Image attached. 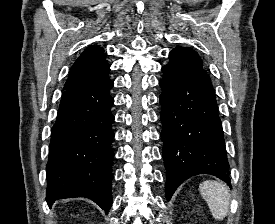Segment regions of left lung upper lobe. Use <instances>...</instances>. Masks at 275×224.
Segmentation results:
<instances>
[{
    "mask_svg": "<svg viewBox=\"0 0 275 224\" xmlns=\"http://www.w3.org/2000/svg\"><path fill=\"white\" fill-rule=\"evenodd\" d=\"M169 58V63L162 67L167 72L176 74L199 72L209 78L203 69L201 58L193 49L176 47L169 53Z\"/></svg>",
    "mask_w": 275,
    "mask_h": 224,
    "instance_id": "1",
    "label": "left lung upper lobe"
}]
</instances>
